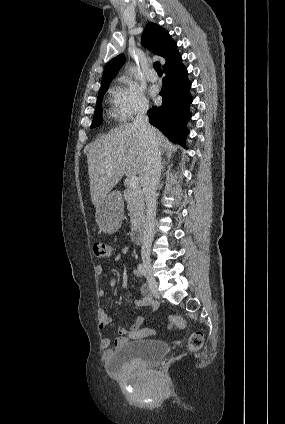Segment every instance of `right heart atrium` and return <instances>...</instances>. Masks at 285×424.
I'll list each match as a JSON object with an SVG mask.
<instances>
[{"instance_id": "right-heart-atrium-1", "label": "right heart atrium", "mask_w": 285, "mask_h": 424, "mask_svg": "<svg viewBox=\"0 0 285 424\" xmlns=\"http://www.w3.org/2000/svg\"><path fill=\"white\" fill-rule=\"evenodd\" d=\"M115 101L123 121L143 115L149 109L144 90L127 78H120L115 87Z\"/></svg>"}]
</instances>
